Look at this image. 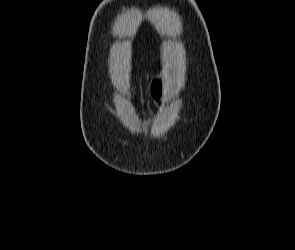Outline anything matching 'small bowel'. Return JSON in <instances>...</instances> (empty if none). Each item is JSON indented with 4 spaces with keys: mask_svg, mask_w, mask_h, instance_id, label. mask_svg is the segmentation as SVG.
Segmentation results:
<instances>
[{
    "mask_svg": "<svg viewBox=\"0 0 295 250\" xmlns=\"http://www.w3.org/2000/svg\"><path fill=\"white\" fill-rule=\"evenodd\" d=\"M162 85L159 79L155 80L151 85V95L155 100L161 97Z\"/></svg>",
    "mask_w": 295,
    "mask_h": 250,
    "instance_id": "1",
    "label": "small bowel"
}]
</instances>
